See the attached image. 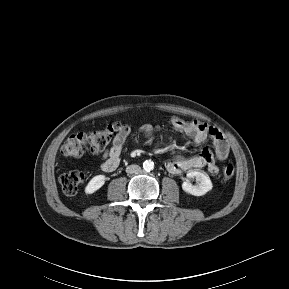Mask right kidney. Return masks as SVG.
<instances>
[{
    "label": "right kidney",
    "instance_id": "1",
    "mask_svg": "<svg viewBox=\"0 0 289 289\" xmlns=\"http://www.w3.org/2000/svg\"><path fill=\"white\" fill-rule=\"evenodd\" d=\"M105 175L94 176L85 187L86 194H93L105 184Z\"/></svg>",
    "mask_w": 289,
    "mask_h": 289
}]
</instances>
